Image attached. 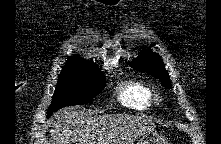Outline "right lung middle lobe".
<instances>
[{
  "mask_svg": "<svg viewBox=\"0 0 221 144\" xmlns=\"http://www.w3.org/2000/svg\"><path fill=\"white\" fill-rule=\"evenodd\" d=\"M105 84V76L97 66L63 68L47 117L65 106L90 103Z\"/></svg>",
  "mask_w": 221,
  "mask_h": 144,
  "instance_id": "dd1d6c3e",
  "label": "right lung middle lobe"
}]
</instances>
